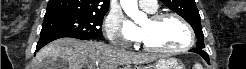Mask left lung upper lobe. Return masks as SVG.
Instances as JSON below:
<instances>
[{
    "label": "left lung upper lobe",
    "mask_w": 246,
    "mask_h": 69,
    "mask_svg": "<svg viewBox=\"0 0 246 69\" xmlns=\"http://www.w3.org/2000/svg\"><path fill=\"white\" fill-rule=\"evenodd\" d=\"M168 8L183 17L193 28L197 37V49L205 47L201 17L194 0H160Z\"/></svg>",
    "instance_id": "obj_1"
}]
</instances>
